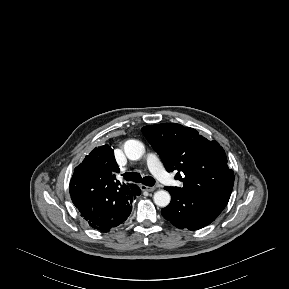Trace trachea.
<instances>
[{
	"label": "trachea",
	"mask_w": 289,
	"mask_h": 289,
	"mask_svg": "<svg viewBox=\"0 0 289 289\" xmlns=\"http://www.w3.org/2000/svg\"><path fill=\"white\" fill-rule=\"evenodd\" d=\"M123 177L126 181L143 183L146 186H153L155 184V180L153 177L145 176L142 178L141 175L139 173H136V172L124 173Z\"/></svg>",
	"instance_id": "3493384b"
}]
</instances>
